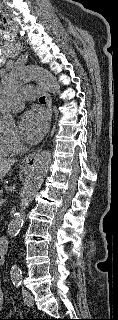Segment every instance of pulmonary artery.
I'll return each mask as SVG.
<instances>
[{
  "label": "pulmonary artery",
  "mask_w": 118,
  "mask_h": 320,
  "mask_svg": "<svg viewBox=\"0 0 118 320\" xmlns=\"http://www.w3.org/2000/svg\"><path fill=\"white\" fill-rule=\"evenodd\" d=\"M34 99V88L31 86H25L19 91H14L9 97L2 100L0 102V108L17 112L23 107L24 101Z\"/></svg>",
  "instance_id": "pulmonary-artery-1"
}]
</instances>
